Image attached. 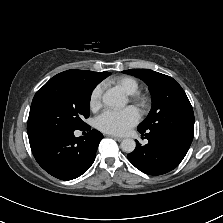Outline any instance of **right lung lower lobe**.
<instances>
[{
    "instance_id": "right-lung-lower-lobe-1",
    "label": "right lung lower lobe",
    "mask_w": 223,
    "mask_h": 223,
    "mask_svg": "<svg viewBox=\"0 0 223 223\" xmlns=\"http://www.w3.org/2000/svg\"><path fill=\"white\" fill-rule=\"evenodd\" d=\"M78 130H90L85 126ZM75 130L59 131L29 140L38 164L50 175L72 180L86 172L94 162L102 133L93 129L75 137Z\"/></svg>"
}]
</instances>
